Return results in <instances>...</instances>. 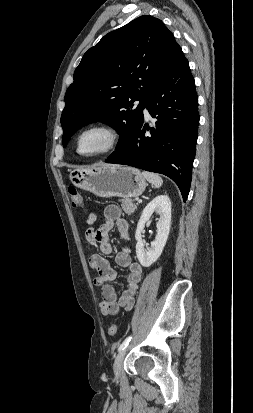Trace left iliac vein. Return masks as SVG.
Masks as SVG:
<instances>
[{
	"instance_id": "4c4485c4",
	"label": "left iliac vein",
	"mask_w": 253,
	"mask_h": 413,
	"mask_svg": "<svg viewBox=\"0 0 253 413\" xmlns=\"http://www.w3.org/2000/svg\"><path fill=\"white\" fill-rule=\"evenodd\" d=\"M125 355H126V348H124L123 350H120L115 358L113 370L116 376L120 374V370H121Z\"/></svg>"
}]
</instances>
